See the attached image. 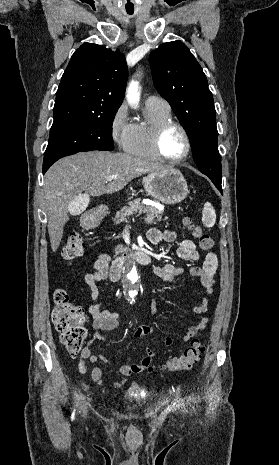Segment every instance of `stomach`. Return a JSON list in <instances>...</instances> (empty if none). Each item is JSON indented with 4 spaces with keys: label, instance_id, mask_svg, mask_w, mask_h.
I'll use <instances>...</instances> for the list:
<instances>
[{
    "label": "stomach",
    "instance_id": "obj_1",
    "mask_svg": "<svg viewBox=\"0 0 279 465\" xmlns=\"http://www.w3.org/2000/svg\"><path fill=\"white\" fill-rule=\"evenodd\" d=\"M144 189L152 198L167 205L183 201L189 190L182 173L172 167L153 172L143 179ZM107 206L100 205L87 213L82 225L87 228L97 227L107 213Z\"/></svg>",
    "mask_w": 279,
    "mask_h": 465
}]
</instances>
